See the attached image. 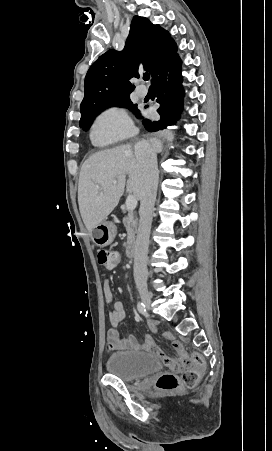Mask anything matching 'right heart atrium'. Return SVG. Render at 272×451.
Here are the masks:
<instances>
[{"instance_id": "obj_1", "label": "right heart atrium", "mask_w": 272, "mask_h": 451, "mask_svg": "<svg viewBox=\"0 0 272 451\" xmlns=\"http://www.w3.org/2000/svg\"><path fill=\"white\" fill-rule=\"evenodd\" d=\"M132 130V122L127 113L118 108L106 110L98 116L91 136L95 142L118 140L127 137Z\"/></svg>"}]
</instances>
